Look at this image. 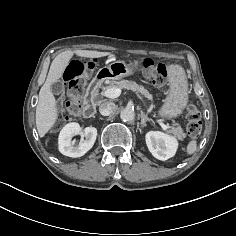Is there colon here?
Returning <instances> with one entry per match:
<instances>
[{"instance_id": "5ec220e1", "label": "colon", "mask_w": 236, "mask_h": 236, "mask_svg": "<svg viewBox=\"0 0 236 236\" xmlns=\"http://www.w3.org/2000/svg\"><path fill=\"white\" fill-rule=\"evenodd\" d=\"M93 61L91 60H70L64 69V79L67 85L66 91V103L64 117L78 115L81 111V98L82 91L86 83V76L93 67ZM145 76L152 80L153 84L162 88L166 85L168 77V69L164 64H155L152 60H145L143 62ZM187 134L190 138H198L201 134V114L199 110L190 105L186 109Z\"/></svg>"}]
</instances>
